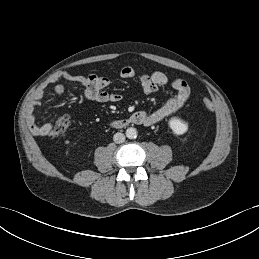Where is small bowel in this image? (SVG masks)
<instances>
[{
  "label": "small bowel",
  "instance_id": "small-bowel-1",
  "mask_svg": "<svg viewBox=\"0 0 259 259\" xmlns=\"http://www.w3.org/2000/svg\"><path fill=\"white\" fill-rule=\"evenodd\" d=\"M120 75L123 79H132L135 76V71L132 67L126 66L121 69ZM58 78L80 84L83 87V94L87 100L100 103H116L120 102L122 99V96L119 93H112L107 90L110 86V80L104 76L95 74L76 75L69 72H63ZM140 84L146 94H153L157 92L160 87L170 85L175 91V95L152 112L139 111L134 113L132 117L137 124L150 126L162 121L182 108L190 96V87L184 80L170 79L168 75L161 71L143 74L140 77ZM65 90L66 88L63 84H57L54 87V94L57 97H60L65 93ZM43 94V89L36 91L26 115L27 126L30 132L35 136H47L52 130V125L50 123L39 124L37 122L36 108L40 105Z\"/></svg>",
  "mask_w": 259,
  "mask_h": 259
}]
</instances>
